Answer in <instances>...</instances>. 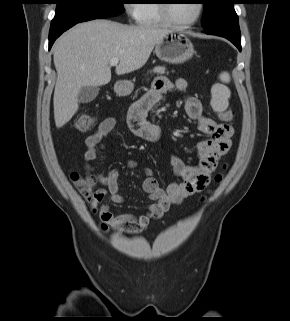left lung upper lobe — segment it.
Instances as JSON below:
<instances>
[{
  "mask_svg": "<svg viewBox=\"0 0 290 321\" xmlns=\"http://www.w3.org/2000/svg\"><path fill=\"white\" fill-rule=\"evenodd\" d=\"M204 18L202 26L210 29L237 16L233 4L236 0H202Z\"/></svg>",
  "mask_w": 290,
  "mask_h": 321,
  "instance_id": "5c2ea615",
  "label": "left lung upper lobe"
}]
</instances>
